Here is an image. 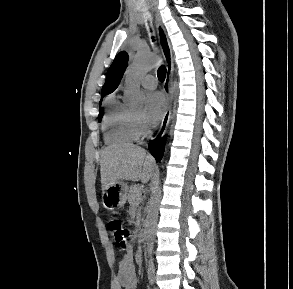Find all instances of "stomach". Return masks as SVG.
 <instances>
[{
    "mask_svg": "<svg viewBox=\"0 0 293 289\" xmlns=\"http://www.w3.org/2000/svg\"><path fill=\"white\" fill-rule=\"evenodd\" d=\"M128 186L122 181L108 186L102 192V204L108 210H117L124 206L127 200Z\"/></svg>",
    "mask_w": 293,
    "mask_h": 289,
    "instance_id": "obj_1",
    "label": "stomach"
}]
</instances>
